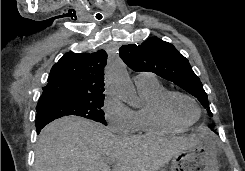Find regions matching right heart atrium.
I'll return each instance as SVG.
<instances>
[{
	"label": "right heart atrium",
	"mask_w": 245,
	"mask_h": 171,
	"mask_svg": "<svg viewBox=\"0 0 245 171\" xmlns=\"http://www.w3.org/2000/svg\"><path fill=\"white\" fill-rule=\"evenodd\" d=\"M102 110L113 132L123 135L136 132L137 122L134 111L124 105L112 91L106 93Z\"/></svg>",
	"instance_id": "right-heart-atrium-1"
}]
</instances>
